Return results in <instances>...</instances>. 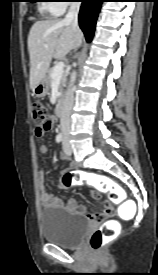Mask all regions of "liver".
I'll return each instance as SVG.
<instances>
[{
	"label": "liver",
	"mask_w": 158,
	"mask_h": 275,
	"mask_svg": "<svg viewBox=\"0 0 158 275\" xmlns=\"http://www.w3.org/2000/svg\"><path fill=\"white\" fill-rule=\"evenodd\" d=\"M82 40V32L73 31L70 24L60 19L36 21L28 35L30 56V88L46 76L52 58L63 59Z\"/></svg>",
	"instance_id": "6515ba94"
}]
</instances>
